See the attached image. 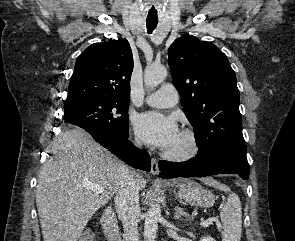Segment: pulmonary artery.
Segmentation results:
<instances>
[{"label":"pulmonary artery","mask_w":295,"mask_h":241,"mask_svg":"<svg viewBox=\"0 0 295 241\" xmlns=\"http://www.w3.org/2000/svg\"><path fill=\"white\" fill-rule=\"evenodd\" d=\"M178 92L172 85H164L156 92L146 97L148 105L157 108H169L178 103Z\"/></svg>","instance_id":"pulmonary-artery-1"}]
</instances>
